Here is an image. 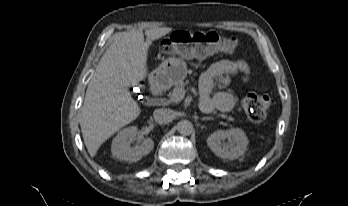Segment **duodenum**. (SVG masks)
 <instances>
[{"label":"duodenum","mask_w":348,"mask_h":206,"mask_svg":"<svg viewBox=\"0 0 348 206\" xmlns=\"http://www.w3.org/2000/svg\"><path fill=\"white\" fill-rule=\"evenodd\" d=\"M150 83H151V88H152V91L154 92V94H158L161 92L162 87L159 84L158 78H152L150 80Z\"/></svg>","instance_id":"duodenum-1"}]
</instances>
